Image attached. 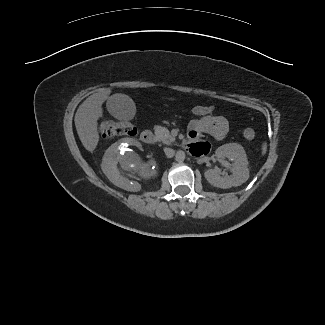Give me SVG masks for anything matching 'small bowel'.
<instances>
[{
	"mask_svg": "<svg viewBox=\"0 0 325 325\" xmlns=\"http://www.w3.org/2000/svg\"><path fill=\"white\" fill-rule=\"evenodd\" d=\"M202 133H207L216 140L225 138L228 133L227 120L222 116L213 115L207 118L197 117L190 122L188 135L191 141L187 145V149L194 157L206 155L210 150L208 141L198 139Z\"/></svg>",
	"mask_w": 325,
	"mask_h": 325,
	"instance_id": "small-bowel-1",
	"label": "small bowel"
}]
</instances>
